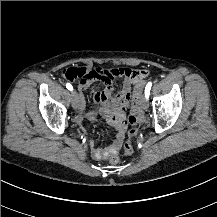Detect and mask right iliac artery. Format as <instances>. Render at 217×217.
<instances>
[{"label": "right iliac artery", "instance_id": "obj_1", "mask_svg": "<svg viewBox=\"0 0 217 217\" xmlns=\"http://www.w3.org/2000/svg\"><path fill=\"white\" fill-rule=\"evenodd\" d=\"M66 88H67L68 90H70V91H73V87H72V85H71L70 83H67V84H66Z\"/></svg>", "mask_w": 217, "mask_h": 217}]
</instances>
